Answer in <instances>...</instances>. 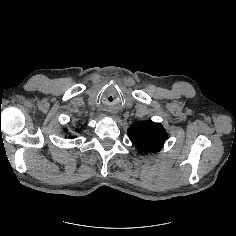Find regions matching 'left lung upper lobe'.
<instances>
[{
	"label": "left lung upper lobe",
	"mask_w": 236,
	"mask_h": 236,
	"mask_svg": "<svg viewBox=\"0 0 236 236\" xmlns=\"http://www.w3.org/2000/svg\"><path fill=\"white\" fill-rule=\"evenodd\" d=\"M130 140L140 153L158 152L167 137L161 124L152 121H138L128 129Z\"/></svg>",
	"instance_id": "left-lung-upper-lobe-1"
}]
</instances>
